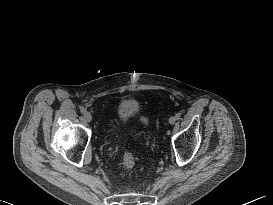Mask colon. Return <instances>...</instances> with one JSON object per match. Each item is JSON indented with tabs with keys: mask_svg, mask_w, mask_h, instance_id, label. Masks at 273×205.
<instances>
[{
	"mask_svg": "<svg viewBox=\"0 0 273 205\" xmlns=\"http://www.w3.org/2000/svg\"><path fill=\"white\" fill-rule=\"evenodd\" d=\"M123 167L125 169H132L135 165V158L130 151H126L123 156Z\"/></svg>",
	"mask_w": 273,
	"mask_h": 205,
	"instance_id": "1",
	"label": "colon"
}]
</instances>
